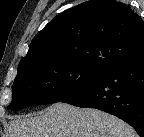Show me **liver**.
<instances>
[{"mask_svg":"<svg viewBox=\"0 0 144 137\" xmlns=\"http://www.w3.org/2000/svg\"><path fill=\"white\" fill-rule=\"evenodd\" d=\"M9 137H138L121 119L93 108L57 102L38 115L9 122Z\"/></svg>","mask_w":144,"mask_h":137,"instance_id":"liver-1","label":"liver"}]
</instances>
